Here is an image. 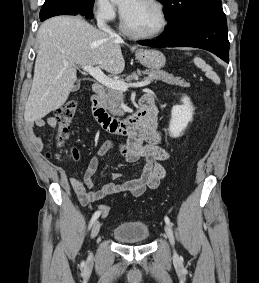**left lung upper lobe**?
I'll list each match as a JSON object with an SVG mask.
<instances>
[{
    "label": "left lung upper lobe",
    "mask_w": 259,
    "mask_h": 283,
    "mask_svg": "<svg viewBox=\"0 0 259 283\" xmlns=\"http://www.w3.org/2000/svg\"><path fill=\"white\" fill-rule=\"evenodd\" d=\"M165 6L167 29L174 28L203 10L221 5V0H158Z\"/></svg>",
    "instance_id": "left-lung-upper-lobe-1"
}]
</instances>
